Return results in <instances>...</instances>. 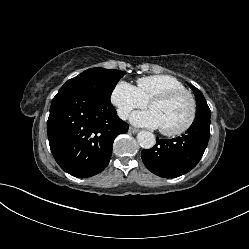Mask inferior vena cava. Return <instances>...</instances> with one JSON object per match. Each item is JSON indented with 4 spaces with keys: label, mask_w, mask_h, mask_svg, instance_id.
Wrapping results in <instances>:
<instances>
[{
    "label": "inferior vena cava",
    "mask_w": 249,
    "mask_h": 249,
    "mask_svg": "<svg viewBox=\"0 0 249 249\" xmlns=\"http://www.w3.org/2000/svg\"><path fill=\"white\" fill-rule=\"evenodd\" d=\"M118 116L122 119V120H126L128 118L129 112L127 110H118Z\"/></svg>",
    "instance_id": "inferior-vena-cava-1"
}]
</instances>
